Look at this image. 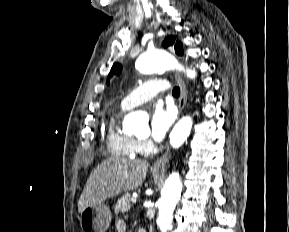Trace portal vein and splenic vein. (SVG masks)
<instances>
[{"instance_id": "18ae733b", "label": "portal vein and splenic vein", "mask_w": 289, "mask_h": 232, "mask_svg": "<svg viewBox=\"0 0 289 232\" xmlns=\"http://www.w3.org/2000/svg\"><path fill=\"white\" fill-rule=\"evenodd\" d=\"M131 202H132L133 204H135V203H136V198H132V199H131Z\"/></svg>"}]
</instances>
